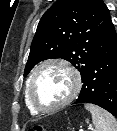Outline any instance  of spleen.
<instances>
[{
	"instance_id": "spleen-1",
	"label": "spleen",
	"mask_w": 117,
	"mask_h": 131,
	"mask_svg": "<svg viewBox=\"0 0 117 131\" xmlns=\"http://www.w3.org/2000/svg\"><path fill=\"white\" fill-rule=\"evenodd\" d=\"M84 106L92 115L94 131H117V121L112 114L93 104Z\"/></svg>"
}]
</instances>
